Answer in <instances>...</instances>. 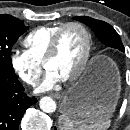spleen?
I'll return each mask as SVG.
<instances>
[{"label": "spleen", "instance_id": "1", "mask_svg": "<svg viewBox=\"0 0 130 130\" xmlns=\"http://www.w3.org/2000/svg\"><path fill=\"white\" fill-rule=\"evenodd\" d=\"M110 124V118L88 124L81 121H74L66 115L59 117L60 130H106Z\"/></svg>", "mask_w": 130, "mask_h": 130}]
</instances>
